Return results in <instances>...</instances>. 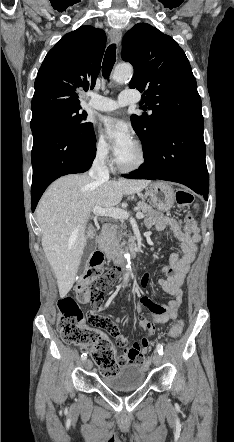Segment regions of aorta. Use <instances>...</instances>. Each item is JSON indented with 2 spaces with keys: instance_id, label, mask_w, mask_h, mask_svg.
Here are the masks:
<instances>
[{
  "instance_id": "1",
  "label": "aorta",
  "mask_w": 234,
  "mask_h": 442,
  "mask_svg": "<svg viewBox=\"0 0 234 442\" xmlns=\"http://www.w3.org/2000/svg\"><path fill=\"white\" fill-rule=\"evenodd\" d=\"M132 75H133L132 66L130 64H121V65L116 66V68L114 69L112 79L116 83H124V82L130 80ZM125 256L128 260V264L126 265L127 272L124 275V281L127 283L128 277H129V270H130V265H129L130 260H129L128 254H126Z\"/></svg>"
}]
</instances>
